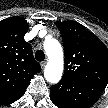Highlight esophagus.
<instances>
[{
	"instance_id": "1",
	"label": "esophagus",
	"mask_w": 108,
	"mask_h": 108,
	"mask_svg": "<svg viewBox=\"0 0 108 108\" xmlns=\"http://www.w3.org/2000/svg\"><path fill=\"white\" fill-rule=\"evenodd\" d=\"M46 63H47L46 61L41 62V64H40V65H41L42 69H44V68H45Z\"/></svg>"
}]
</instances>
